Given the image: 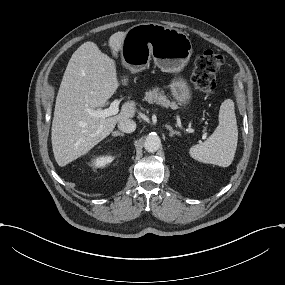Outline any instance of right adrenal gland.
Instances as JSON below:
<instances>
[{
    "label": "right adrenal gland",
    "instance_id": "1",
    "mask_svg": "<svg viewBox=\"0 0 285 285\" xmlns=\"http://www.w3.org/2000/svg\"><path fill=\"white\" fill-rule=\"evenodd\" d=\"M112 136L116 137V136H124V133H121L119 131H113L112 132Z\"/></svg>",
    "mask_w": 285,
    "mask_h": 285
}]
</instances>
